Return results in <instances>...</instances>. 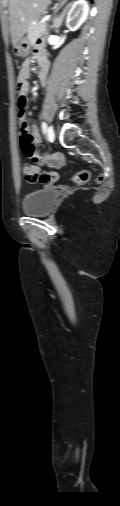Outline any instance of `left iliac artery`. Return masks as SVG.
I'll list each match as a JSON object with an SVG mask.
<instances>
[{
	"instance_id": "1",
	"label": "left iliac artery",
	"mask_w": 120,
	"mask_h": 506,
	"mask_svg": "<svg viewBox=\"0 0 120 506\" xmlns=\"http://www.w3.org/2000/svg\"><path fill=\"white\" fill-rule=\"evenodd\" d=\"M41 127H42L43 133H45L46 129H47V124L45 122H42Z\"/></svg>"
}]
</instances>
